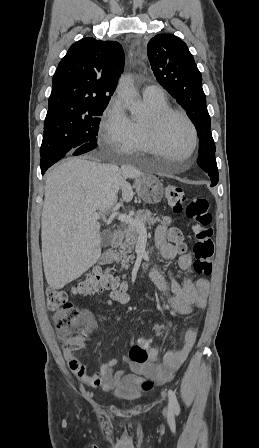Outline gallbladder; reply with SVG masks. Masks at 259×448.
Here are the masks:
<instances>
[{
  "label": "gallbladder",
  "mask_w": 259,
  "mask_h": 448,
  "mask_svg": "<svg viewBox=\"0 0 259 448\" xmlns=\"http://www.w3.org/2000/svg\"><path fill=\"white\" fill-rule=\"evenodd\" d=\"M142 170H145V166L142 164ZM113 242V232L111 230H104L100 234V246L102 248H107V246H111Z\"/></svg>",
  "instance_id": "bac80fb5"
}]
</instances>
